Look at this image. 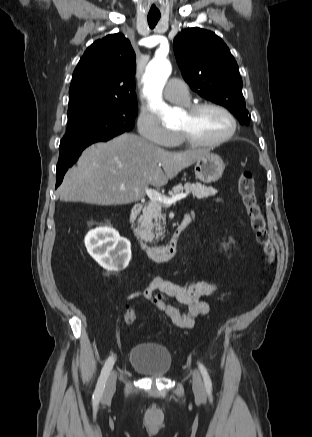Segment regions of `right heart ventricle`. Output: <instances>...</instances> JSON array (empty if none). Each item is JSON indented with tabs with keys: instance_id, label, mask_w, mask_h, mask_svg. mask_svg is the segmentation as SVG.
<instances>
[{
	"instance_id": "e07e8e85",
	"label": "right heart ventricle",
	"mask_w": 312,
	"mask_h": 437,
	"mask_svg": "<svg viewBox=\"0 0 312 437\" xmlns=\"http://www.w3.org/2000/svg\"><path fill=\"white\" fill-rule=\"evenodd\" d=\"M178 142H179V139H178V137H176L174 144H176Z\"/></svg>"
}]
</instances>
